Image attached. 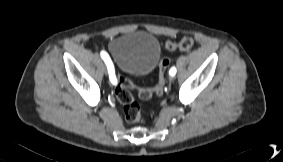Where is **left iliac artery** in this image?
Returning a JSON list of instances; mask_svg holds the SVG:
<instances>
[{
  "label": "left iliac artery",
  "mask_w": 283,
  "mask_h": 162,
  "mask_svg": "<svg viewBox=\"0 0 283 162\" xmlns=\"http://www.w3.org/2000/svg\"><path fill=\"white\" fill-rule=\"evenodd\" d=\"M169 74H170L171 76H174V75L176 74V68H175V67H172V68L170 69V71H169Z\"/></svg>",
  "instance_id": "left-iliac-artery-1"
}]
</instances>
